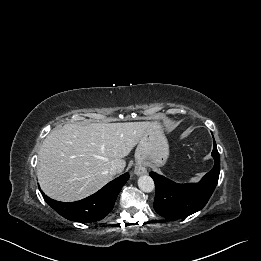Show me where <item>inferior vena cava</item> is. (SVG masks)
Listing matches in <instances>:
<instances>
[{
    "label": "inferior vena cava",
    "instance_id": "602c4592",
    "mask_svg": "<svg viewBox=\"0 0 261 261\" xmlns=\"http://www.w3.org/2000/svg\"><path fill=\"white\" fill-rule=\"evenodd\" d=\"M110 174H112V175H116L117 173H120L121 172V169L119 168V167H117V166H112L111 168H110Z\"/></svg>",
    "mask_w": 261,
    "mask_h": 261
}]
</instances>
